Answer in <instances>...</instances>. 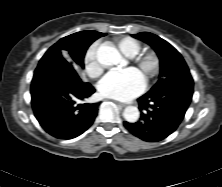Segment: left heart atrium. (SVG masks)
I'll use <instances>...</instances> for the list:
<instances>
[{"mask_svg": "<svg viewBox=\"0 0 222 187\" xmlns=\"http://www.w3.org/2000/svg\"><path fill=\"white\" fill-rule=\"evenodd\" d=\"M146 81L136 68L113 70L99 84V92L106 98L128 101L139 95L145 88Z\"/></svg>", "mask_w": 222, "mask_h": 187, "instance_id": "left-heart-atrium-1", "label": "left heart atrium"}]
</instances>
